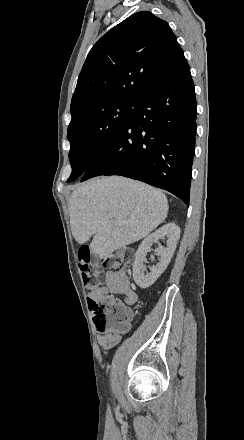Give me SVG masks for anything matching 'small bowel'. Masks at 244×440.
Wrapping results in <instances>:
<instances>
[{
    "instance_id": "1",
    "label": "small bowel",
    "mask_w": 244,
    "mask_h": 440,
    "mask_svg": "<svg viewBox=\"0 0 244 440\" xmlns=\"http://www.w3.org/2000/svg\"><path fill=\"white\" fill-rule=\"evenodd\" d=\"M109 293L122 295L124 303H131V305L137 300V294L132 289L124 271H107L104 274V284L89 293V300L103 299ZM98 341L103 349L109 350L116 346L121 338H113L112 335L104 333L99 336Z\"/></svg>"
}]
</instances>
